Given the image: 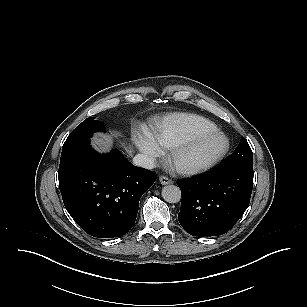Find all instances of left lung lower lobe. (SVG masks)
I'll return each mask as SVG.
<instances>
[{"label": "left lung lower lobe", "mask_w": 307, "mask_h": 307, "mask_svg": "<svg viewBox=\"0 0 307 307\" xmlns=\"http://www.w3.org/2000/svg\"><path fill=\"white\" fill-rule=\"evenodd\" d=\"M253 176V168L220 165L205 175L178 181L181 226L200 237L228 232L249 205Z\"/></svg>", "instance_id": "1"}]
</instances>
